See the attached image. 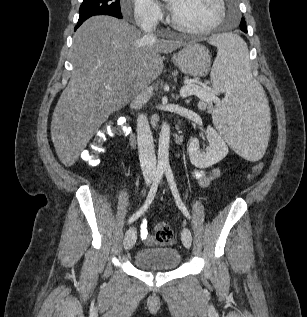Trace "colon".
Masks as SVG:
<instances>
[{
  "label": "colon",
  "instance_id": "1",
  "mask_svg": "<svg viewBox=\"0 0 307 317\" xmlns=\"http://www.w3.org/2000/svg\"><path fill=\"white\" fill-rule=\"evenodd\" d=\"M126 122L111 120L98 129L86 146L83 160L89 165H97L100 157L106 151L105 143L108 139L123 135L126 131ZM263 169V164L255 165L252 171L246 176V181L254 180ZM155 238L161 244H169L173 241V232L169 225L165 223L155 224Z\"/></svg>",
  "mask_w": 307,
  "mask_h": 317
}]
</instances>
